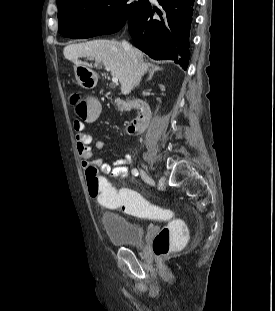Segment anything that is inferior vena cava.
Returning a JSON list of instances; mask_svg holds the SVG:
<instances>
[{
  "instance_id": "602c4592",
  "label": "inferior vena cava",
  "mask_w": 275,
  "mask_h": 311,
  "mask_svg": "<svg viewBox=\"0 0 275 311\" xmlns=\"http://www.w3.org/2000/svg\"><path fill=\"white\" fill-rule=\"evenodd\" d=\"M122 44H123L125 50L129 53V56L132 60V63L138 69L140 66L141 60L137 57V55L134 53V51L132 50V48L130 47V45L127 42H123Z\"/></svg>"
}]
</instances>
